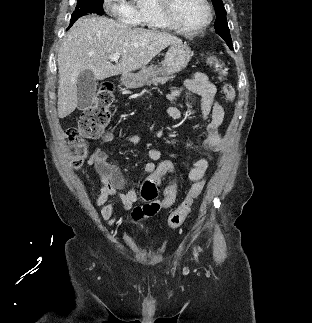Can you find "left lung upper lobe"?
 I'll list each match as a JSON object with an SVG mask.
<instances>
[{
    "instance_id": "left-lung-upper-lobe-1",
    "label": "left lung upper lobe",
    "mask_w": 312,
    "mask_h": 323,
    "mask_svg": "<svg viewBox=\"0 0 312 323\" xmlns=\"http://www.w3.org/2000/svg\"><path fill=\"white\" fill-rule=\"evenodd\" d=\"M214 4L217 19L215 22L216 32L227 42L228 46L232 49V39L230 36L228 23L226 20V10L222 0H211Z\"/></svg>"
}]
</instances>
